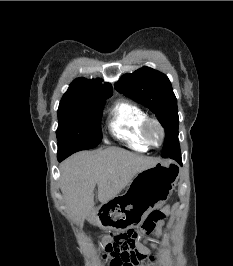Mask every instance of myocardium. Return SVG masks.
I'll use <instances>...</instances> for the list:
<instances>
[{
    "instance_id": "myocardium-1",
    "label": "myocardium",
    "mask_w": 233,
    "mask_h": 266,
    "mask_svg": "<svg viewBox=\"0 0 233 266\" xmlns=\"http://www.w3.org/2000/svg\"><path fill=\"white\" fill-rule=\"evenodd\" d=\"M152 126H156L161 133L160 141L157 144L153 143L150 139L149 131ZM141 134H142L144 141L147 143V145L151 147H159L163 144L165 140V129L163 125L161 124V122L156 118L147 117V119L144 121L142 125Z\"/></svg>"
}]
</instances>
